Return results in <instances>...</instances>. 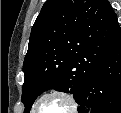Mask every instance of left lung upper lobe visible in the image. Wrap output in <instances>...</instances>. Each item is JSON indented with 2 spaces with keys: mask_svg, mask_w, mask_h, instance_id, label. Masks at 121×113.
Returning a JSON list of instances; mask_svg holds the SVG:
<instances>
[{
  "mask_svg": "<svg viewBox=\"0 0 121 113\" xmlns=\"http://www.w3.org/2000/svg\"><path fill=\"white\" fill-rule=\"evenodd\" d=\"M119 29L107 0H47L32 27L24 59V112L51 88L77 101Z\"/></svg>",
  "mask_w": 121,
  "mask_h": 113,
  "instance_id": "1",
  "label": "left lung upper lobe"
}]
</instances>
